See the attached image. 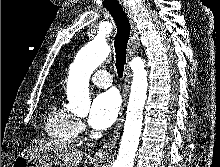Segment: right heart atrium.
<instances>
[{
    "label": "right heart atrium",
    "mask_w": 220,
    "mask_h": 167,
    "mask_svg": "<svg viewBox=\"0 0 220 167\" xmlns=\"http://www.w3.org/2000/svg\"><path fill=\"white\" fill-rule=\"evenodd\" d=\"M77 127L79 132H83L86 129L84 122L81 121L80 119H77Z\"/></svg>",
    "instance_id": "d8ad5b80"
}]
</instances>
